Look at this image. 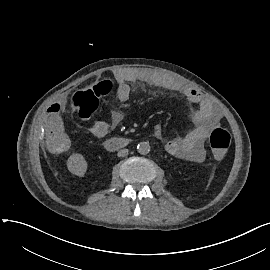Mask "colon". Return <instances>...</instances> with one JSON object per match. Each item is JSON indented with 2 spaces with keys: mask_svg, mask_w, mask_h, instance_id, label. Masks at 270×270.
Here are the masks:
<instances>
[{
  "mask_svg": "<svg viewBox=\"0 0 270 270\" xmlns=\"http://www.w3.org/2000/svg\"><path fill=\"white\" fill-rule=\"evenodd\" d=\"M109 83H98L88 89L76 91L71 98L72 109L82 120L91 119L97 112L100 104V97L110 93ZM209 143L213 151V158L222 162L226 158L225 151L231 144V133L227 128L217 127L209 136Z\"/></svg>",
  "mask_w": 270,
  "mask_h": 270,
  "instance_id": "obj_1",
  "label": "colon"
}]
</instances>
